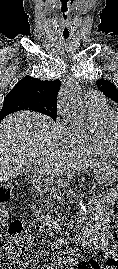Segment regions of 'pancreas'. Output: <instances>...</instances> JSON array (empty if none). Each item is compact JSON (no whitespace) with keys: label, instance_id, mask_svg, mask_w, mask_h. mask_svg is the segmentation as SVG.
I'll use <instances>...</instances> for the list:
<instances>
[{"label":"pancreas","instance_id":"cf45deb5","mask_svg":"<svg viewBox=\"0 0 118 269\" xmlns=\"http://www.w3.org/2000/svg\"><path fill=\"white\" fill-rule=\"evenodd\" d=\"M52 185H53V182L52 181H50L49 179H44L43 178V179H40L37 182L36 189L38 191L48 192L49 193V201H53L52 193H53L54 188L52 187ZM84 191L85 192H98L99 191V188L96 187V183L95 182H90L89 183V187H85L84 188ZM45 207L53 209V205L51 203H47L45 205Z\"/></svg>","mask_w":118,"mask_h":269}]
</instances>
